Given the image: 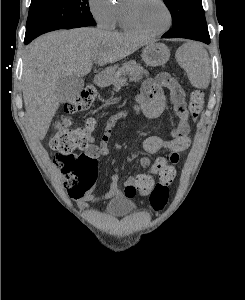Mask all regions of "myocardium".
I'll return each mask as SVG.
<instances>
[{
    "mask_svg": "<svg viewBox=\"0 0 245 300\" xmlns=\"http://www.w3.org/2000/svg\"><path fill=\"white\" fill-rule=\"evenodd\" d=\"M139 1L140 0H126L125 4L123 6V16H124V20H125L127 26L137 33H140L145 36H151V37H156V36L162 35L165 32H167L172 25L173 18H172L171 9L168 6V4L166 3V1L158 0L159 3L165 9L166 14H167L166 26L158 31H148L145 28H143L140 25V23L138 22L136 15H135V8Z\"/></svg>",
    "mask_w": 245,
    "mask_h": 300,
    "instance_id": "f54148a6",
    "label": "myocardium"
}]
</instances>
